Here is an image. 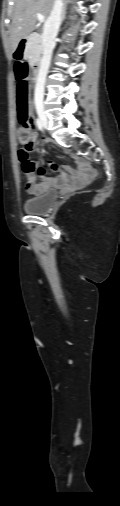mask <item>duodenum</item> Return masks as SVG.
<instances>
[{
	"label": "duodenum",
	"mask_w": 120,
	"mask_h": 506,
	"mask_svg": "<svg viewBox=\"0 0 120 506\" xmlns=\"http://www.w3.org/2000/svg\"><path fill=\"white\" fill-rule=\"evenodd\" d=\"M30 40V37L29 36H24L21 40H20V43L19 45H17L15 47V54H16V57L17 58H24L26 56V45L28 44ZM40 68H41V65H40V62L39 61H36L33 63V75H34V79L37 80L39 78V75H40Z\"/></svg>",
	"instance_id": "1"
}]
</instances>
